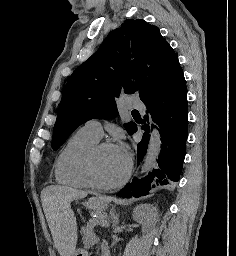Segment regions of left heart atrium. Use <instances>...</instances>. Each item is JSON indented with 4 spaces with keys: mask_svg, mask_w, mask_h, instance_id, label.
<instances>
[{
    "mask_svg": "<svg viewBox=\"0 0 236 256\" xmlns=\"http://www.w3.org/2000/svg\"><path fill=\"white\" fill-rule=\"evenodd\" d=\"M115 152L124 159H128L129 149L121 135H117L116 142L112 146Z\"/></svg>",
    "mask_w": 236,
    "mask_h": 256,
    "instance_id": "obj_1",
    "label": "left heart atrium"
}]
</instances>
